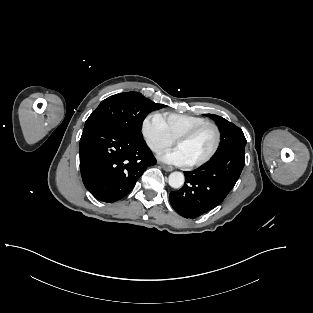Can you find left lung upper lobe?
Returning <instances> with one entry per match:
<instances>
[{
	"instance_id": "left-lung-upper-lobe-1",
	"label": "left lung upper lobe",
	"mask_w": 313,
	"mask_h": 313,
	"mask_svg": "<svg viewBox=\"0 0 313 313\" xmlns=\"http://www.w3.org/2000/svg\"><path fill=\"white\" fill-rule=\"evenodd\" d=\"M205 115L216 122L221 132V142L214 156L234 148H245L247 141L240 128L220 116L214 114Z\"/></svg>"
}]
</instances>
